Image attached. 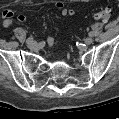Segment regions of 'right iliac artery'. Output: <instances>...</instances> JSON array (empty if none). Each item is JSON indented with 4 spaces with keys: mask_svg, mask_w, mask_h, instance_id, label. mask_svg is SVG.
Segmentation results:
<instances>
[{
    "mask_svg": "<svg viewBox=\"0 0 119 119\" xmlns=\"http://www.w3.org/2000/svg\"><path fill=\"white\" fill-rule=\"evenodd\" d=\"M32 40H33V37L30 36V37L26 40V42H29V41H32Z\"/></svg>",
    "mask_w": 119,
    "mask_h": 119,
    "instance_id": "82829eb1",
    "label": "right iliac artery"
}]
</instances>
